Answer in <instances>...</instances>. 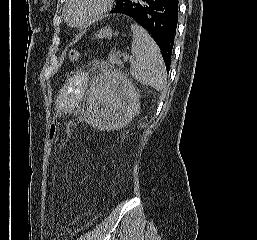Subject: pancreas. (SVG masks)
<instances>
[{
  "label": "pancreas",
  "instance_id": "cf45deb5",
  "mask_svg": "<svg viewBox=\"0 0 257 240\" xmlns=\"http://www.w3.org/2000/svg\"><path fill=\"white\" fill-rule=\"evenodd\" d=\"M109 63L112 65L116 64V65L122 66V62L120 60V54L112 51L109 54Z\"/></svg>",
  "mask_w": 257,
  "mask_h": 240
}]
</instances>
